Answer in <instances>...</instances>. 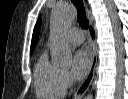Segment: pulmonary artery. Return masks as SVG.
Returning <instances> with one entry per match:
<instances>
[{"instance_id": "pulmonary-artery-1", "label": "pulmonary artery", "mask_w": 128, "mask_h": 99, "mask_svg": "<svg viewBox=\"0 0 128 99\" xmlns=\"http://www.w3.org/2000/svg\"><path fill=\"white\" fill-rule=\"evenodd\" d=\"M68 38L73 44H81L84 41V34L78 28L68 31Z\"/></svg>"}]
</instances>
